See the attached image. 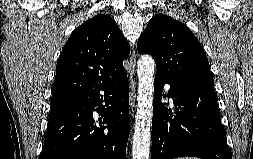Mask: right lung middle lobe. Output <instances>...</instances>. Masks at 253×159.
<instances>
[{
  "label": "right lung middle lobe",
  "mask_w": 253,
  "mask_h": 159,
  "mask_svg": "<svg viewBox=\"0 0 253 159\" xmlns=\"http://www.w3.org/2000/svg\"><path fill=\"white\" fill-rule=\"evenodd\" d=\"M74 101H63V102H56V103H51V112L50 114H53L55 112H58L65 107L71 105Z\"/></svg>",
  "instance_id": "dd1d6c3e"
}]
</instances>
